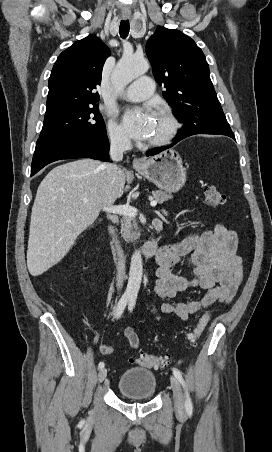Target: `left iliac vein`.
Wrapping results in <instances>:
<instances>
[{"label":"left iliac vein","instance_id":"obj_1","mask_svg":"<svg viewBox=\"0 0 272 452\" xmlns=\"http://www.w3.org/2000/svg\"><path fill=\"white\" fill-rule=\"evenodd\" d=\"M170 384L171 388L173 390V397H174V405L177 413L184 414L185 413V404H184V397L182 394L181 386L177 380V378L173 375L170 376Z\"/></svg>","mask_w":272,"mask_h":452}]
</instances>
